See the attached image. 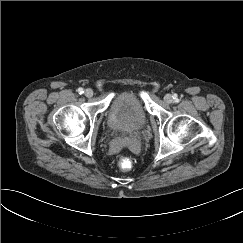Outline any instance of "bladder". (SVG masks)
I'll return each mask as SVG.
<instances>
[{
	"mask_svg": "<svg viewBox=\"0 0 243 243\" xmlns=\"http://www.w3.org/2000/svg\"><path fill=\"white\" fill-rule=\"evenodd\" d=\"M107 121L112 130L129 133L142 129L147 117L140 100L130 92H123L112 100Z\"/></svg>",
	"mask_w": 243,
	"mask_h": 243,
	"instance_id": "31cf9c89",
	"label": "bladder"
}]
</instances>
